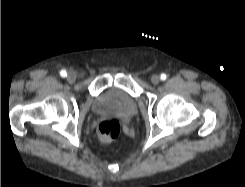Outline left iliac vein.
<instances>
[{"instance_id": "obj_1", "label": "left iliac vein", "mask_w": 245, "mask_h": 187, "mask_svg": "<svg viewBox=\"0 0 245 187\" xmlns=\"http://www.w3.org/2000/svg\"><path fill=\"white\" fill-rule=\"evenodd\" d=\"M150 80L153 85H157L160 82V77L155 74L151 76Z\"/></svg>"}]
</instances>
